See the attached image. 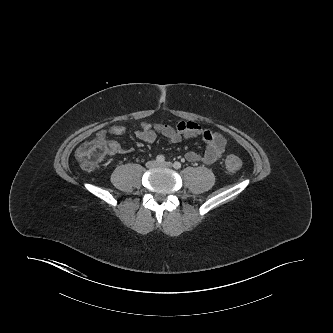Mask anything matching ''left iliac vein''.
Masks as SVG:
<instances>
[{"mask_svg":"<svg viewBox=\"0 0 333 333\" xmlns=\"http://www.w3.org/2000/svg\"><path fill=\"white\" fill-rule=\"evenodd\" d=\"M158 166L170 168L172 167V163L170 162L160 163L158 164Z\"/></svg>","mask_w":333,"mask_h":333,"instance_id":"1","label":"left iliac vein"}]
</instances>
